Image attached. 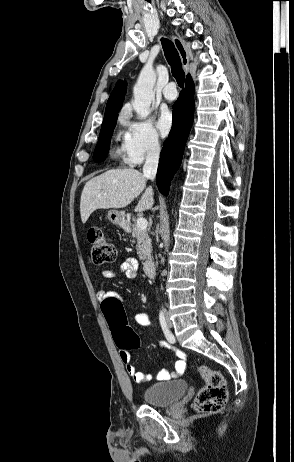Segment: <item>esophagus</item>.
<instances>
[{"instance_id": "obj_1", "label": "esophagus", "mask_w": 294, "mask_h": 462, "mask_svg": "<svg viewBox=\"0 0 294 462\" xmlns=\"http://www.w3.org/2000/svg\"><path fill=\"white\" fill-rule=\"evenodd\" d=\"M172 41L179 53V56L181 58V62L183 64V67L185 70H188L189 68V57L191 55L187 45L185 44V42L177 37V36H172Z\"/></svg>"}]
</instances>
